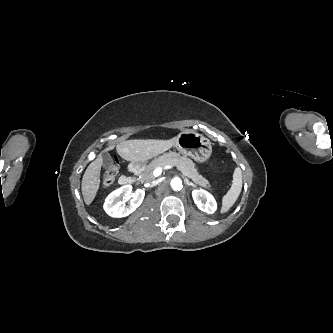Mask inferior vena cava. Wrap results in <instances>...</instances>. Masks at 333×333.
Listing matches in <instances>:
<instances>
[{
	"label": "inferior vena cava",
	"mask_w": 333,
	"mask_h": 333,
	"mask_svg": "<svg viewBox=\"0 0 333 333\" xmlns=\"http://www.w3.org/2000/svg\"><path fill=\"white\" fill-rule=\"evenodd\" d=\"M155 184H156V182H155V183H153V184H152V186H153V185H155Z\"/></svg>",
	"instance_id": "1"
}]
</instances>
